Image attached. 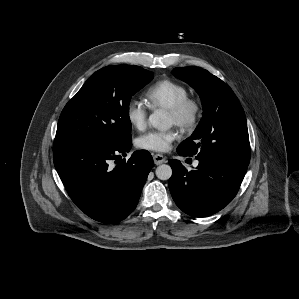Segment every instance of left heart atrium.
Wrapping results in <instances>:
<instances>
[{"mask_svg": "<svg viewBox=\"0 0 299 299\" xmlns=\"http://www.w3.org/2000/svg\"><path fill=\"white\" fill-rule=\"evenodd\" d=\"M177 138L178 132L174 129L150 131L138 137L136 145L140 149L162 152L167 150Z\"/></svg>", "mask_w": 299, "mask_h": 299, "instance_id": "1", "label": "left heart atrium"}]
</instances>
